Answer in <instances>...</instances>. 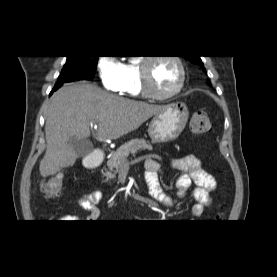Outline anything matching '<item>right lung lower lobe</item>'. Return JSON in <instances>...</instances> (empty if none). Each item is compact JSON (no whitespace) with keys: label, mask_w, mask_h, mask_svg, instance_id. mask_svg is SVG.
<instances>
[{"label":"right lung lower lobe","mask_w":277,"mask_h":277,"mask_svg":"<svg viewBox=\"0 0 277 277\" xmlns=\"http://www.w3.org/2000/svg\"><path fill=\"white\" fill-rule=\"evenodd\" d=\"M75 80H79V79H75ZM70 82V81H69ZM66 83L65 79H59L56 84H55V87L53 89V91L51 92V94L57 90L62 84Z\"/></svg>","instance_id":"1"}]
</instances>
